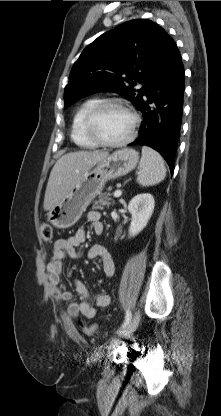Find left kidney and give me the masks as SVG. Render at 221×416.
<instances>
[{
  "label": "left kidney",
  "instance_id": "1",
  "mask_svg": "<svg viewBox=\"0 0 221 416\" xmlns=\"http://www.w3.org/2000/svg\"><path fill=\"white\" fill-rule=\"evenodd\" d=\"M154 198L149 193L136 195L129 203L128 210L132 215L129 226V237L139 234L147 225L154 210Z\"/></svg>",
  "mask_w": 221,
  "mask_h": 416
}]
</instances>
